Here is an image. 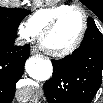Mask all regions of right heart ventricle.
Masks as SVG:
<instances>
[{"mask_svg": "<svg viewBox=\"0 0 103 103\" xmlns=\"http://www.w3.org/2000/svg\"><path fill=\"white\" fill-rule=\"evenodd\" d=\"M71 7L70 5L61 4L58 6L39 9L34 12L27 20L28 27L35 35H39L44 27L59 13Z\"/></svg>", "mask_w": 103, "mask_h": 103, "instance_id": "obj_1", "label": "right heart ventricle"}]
</instances>
